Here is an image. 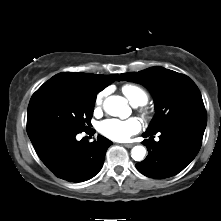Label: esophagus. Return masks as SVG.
Segmentation results:
<instances>
[{
	"label": "esophagus",
	"instance_id": "obj_1",
	"mask_svg": "<svg viewBox=\"0 0 221 221\" xmlns=\"http://www.w3.org/2000/svg\"><path fill=\"white\" fill-rule=\"evenodd\" d=\"M123 146H125L126 148H131L134 146V144L132 143H125Z\"/></svg>",
	"mask_w": 221,
	"mask_h": 221
}]
</instances>
